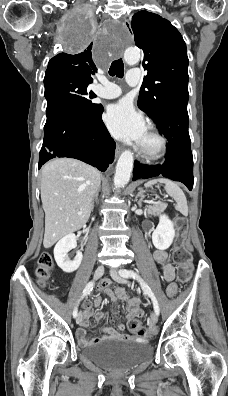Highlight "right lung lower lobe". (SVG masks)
Here are the masks:
<instances>
[{
	"label": "right lung lower lobe",
	"mask_w": 228,
	"mask_h": 396,
	"mask_svg": "<svg viewBox=\"0 0 228 396\" xmlns=\"http://www.w3.org/2000/svg\"><path fill=\"white\" fill-rule=\"evenodd\" d=\"M92 116L59 115L46 121L39 168L55 157H70L104 172L114 160L115 142L101 118L103 107Z\"/></svg>",
	"instance_id": "98d812e1"
}]
</instances>
